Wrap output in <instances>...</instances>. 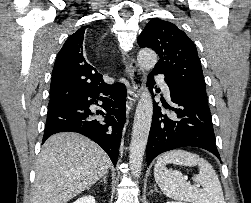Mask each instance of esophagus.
Here are the masks:
<instances>
[{
    "instance_id": "esophagus-1",
    "label": "esophagus",
    "mask_w": 251,
    "mask_h": 203,
    "mask_svg": "<svg viewBox=\"0 0 251 203\" xmlns=\"http://www.w3.org/2000/svg\"><path fill=\"white\" fill-rule=\"evenodd\" d=\"M126 73L131 84L130 88L127 90L126 101V115L129 116L131 110L141 95L145 73L143 68L135 61L134 58H130L127 61Z\"/></svg>"
}]
</instances>
